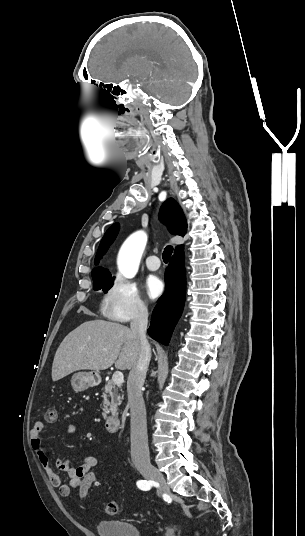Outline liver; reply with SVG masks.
Returning <instances> with one entry per match:
<instances>
[{
    "mask_svg": "<svg viewBox=\"0 0 305 536\" xmlns=\"http://www.w3.org/2000/svg\"><path fill=\"white\" fill-rule=\"evenodd\" d=\"M140 352V342L127 326L105 320L84 322L61 342L53 360L52 380L58 382L77 370H107L113 364L117 370H132Z\"/></svg>",
    "mask_w": 305,
    "mask_h": 536,
    "instance_id": "1",
    "label": "liver"
}]
</instances>
